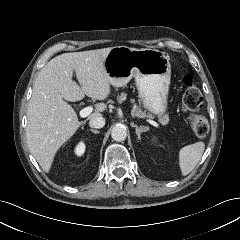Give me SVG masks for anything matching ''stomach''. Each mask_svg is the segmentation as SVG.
<instances>
[{
    "mask_svg": "<svg viewBox=\"0 0 240 240\" xmlns=\"http://www.w3.org/2000/svg\"><path fill=\"white\" fill-rule=\"evenodd\" d=\"M109 83L125 86L132 78L140 101L149 112L162 116L167 110L171 77L169 57L156 49L112 47L104 60Z\"/></svg>",
    "mask_w": 240,
    "mask_h": 240,
    "instance_id": "obj_1",
    "label": "stomach"
}]
</instances>
